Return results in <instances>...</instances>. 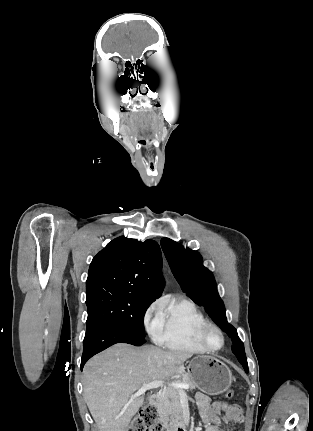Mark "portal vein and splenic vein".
I'll return each instance as SVG.
<instances>
[{
    "label": "portal vein and splenic vein",
    "instance_id": "portal-vein-and-splenic-vein-1",
    "mask_svg": "<svg viewBox=\"0 0 313 431\" xmlns=\"http://www.w3.org/2000/svg\"><path fill=\"white\" fill-rule=\"evenodd\" d=\"M164 385V381L156 380L152 381L150 383L144 384L135 394L133 397L140 396L144 394L147 390L151 389H157ZM169 386L176 388L179 390L180 395H184V389H189V385L186 383H177V382H171L169 383Z\"/></svg>",
    "mask_w": 313,
    "mask_h": 431
}]
</instances>
